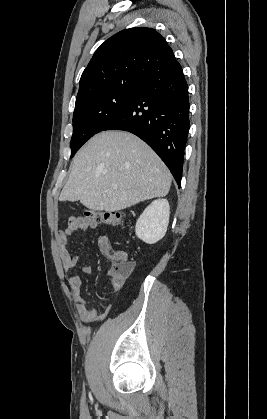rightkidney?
Returning a JSON list of instances; mask_svg holds the SVG:
<instances>
[{
	"instance_id": "1",
	"label": "right kidney",
	"mask_w": 267,
	"mask_h": 419,
	"mask_svg": "<svg viewBox=\"0 0 267 419\" xmlns=\"http://www.w3.org/2000/svg\"><path fill=\"white\" fill-rule=\"evenodd\" d=\"M170 207L166 199L154 200L140 215L135 232L139 239L148 244L161 240L167 231Z\"/></svg>"
}]
</instances>
